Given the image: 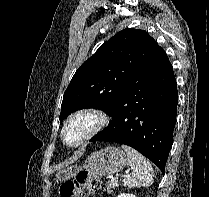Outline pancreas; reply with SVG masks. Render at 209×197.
<instances>
[{
	"instance_id": "pancreas-1",
	"label": "pancreas",
	"mask_w": 209,
	"mask_h": 197,
	"mask_svg": "<svg viewBox=\"0 0 209 197\" xmlns=\"http://www.w3.org/2000/svg\"><path fill=\"white\" fill-rule=\"evenodd\" d=\"M116 187H118V183L108 182V184L106 185L107 193L111 194L113 192V189H115Z\"/></svg>"
}]
</instances>
